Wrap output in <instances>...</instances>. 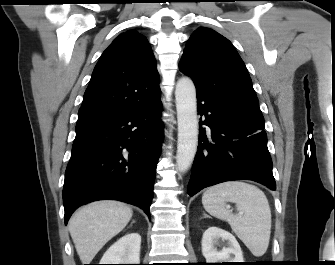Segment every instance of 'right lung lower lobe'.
Instances as JSON below:
<instances>
[{"mask_svg":"<svg viewBox=\"0 0 335 265\" xmlns=\"http://www.w3.org/2000/svg\"><path fill=\"white\" fill-rule=\"evenodd\" d=\"M160 98L110 118L76 125L65 172V224L79 206L102 199L124 201L150 218L155 170L163 140Z\"/></svg>","mask_w":335,"mask_h":265,"instance_id":"1","label":"right lung lower lobe"}]
</instances>
